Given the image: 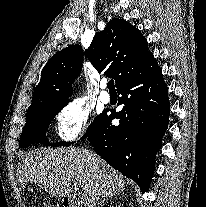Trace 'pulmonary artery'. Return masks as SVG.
<instances>
[{"mask_svg": "<svg viewBox=\"0 0 206 207\" xmlns=\"http://www.w3.org/2000/svg\"><path fill=\"white\" fill-rule=\"evenodd\" d=\"M101 87H102V91L100 92V100L101 102L107 104L110 102L111 97L110 94L106 91V87H107L106 82H103Z\"/></svg>", "mask_w": 206, "mask_h": 207, "instance_id": "obj_1", "label": "pulmonary artery"}]
</instances>
